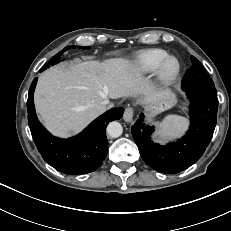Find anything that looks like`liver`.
<instances>
[{
  "instance_id": "liver-1",
  "label": "liver",
  "mask_w": 231,
  "mask_h": 231,
  "mask_svg": "<svg viewBox=\"0 0 231 231\" xmlns=\"http://www.w3.org/2000/svg\"><path fill=\"white\" fill-rule=\"evenodd\" d=\"M167 92L155 91L135 65L124 58L63 63L43 72L34 94L36 111L54 135L79 132L103 110L101 101L144 95L153 103Z\"/></svg>"
}]
</instances>
